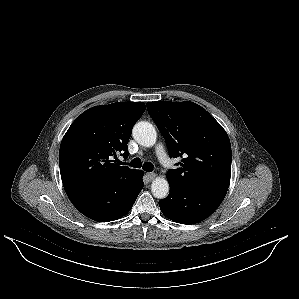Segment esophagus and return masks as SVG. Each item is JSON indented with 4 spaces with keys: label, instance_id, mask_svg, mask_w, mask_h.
I'll list each match as a JSON object with an SVG mask.
<instances>
[{
    "label": "esophagus",
    "instance_id": "obj_1",
    "mask_svg": "<svg viewBox=\"0 0 299 299\" xmlns=\"http://www.w3.org/2000/svg\"><path fill=\"white\" fill-rule=\"evenodd\" d=\"M155 173H146V177L149 181H152L155 178Z\"/></svg>",
    "mask_w": 299,
    "mask_h": 299
}]
</instances>
